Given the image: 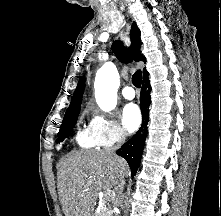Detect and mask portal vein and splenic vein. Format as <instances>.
<instances>
[{
    "label": "portal vein and splenic vein",
    "instance_id": "18ae733b",
    "mask_svg": "<svg viewBox=\"0 0 221 216\" xmlns=\"http://www.w3.org/2000/svg\"><path fill=\"white\" fill-rule=\"evenodd\" d=\"M104 197L107 201H110L111 199H113L115 197V192L112 190H107L104 193Z\"/></svg>",
    "mask_w": 221,
    "mask_h": 216
}]
</instances>
